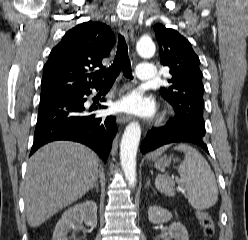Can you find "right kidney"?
Masks as SVG:
<instances>
[{
  "mask_svg": "<svg viewBox=\"0 0 248 240\" xmlns=\"http://www.w3.org/2000/svg\"><path fill=\"white\" fill-rule=\"evenodd\" d=\"M83 222L91 228L96 227L97 205L94 201H85L65 211L55 226L52 240H68V231L76 229L77 224L81 225Z\"/></svg>",
  "mask_w": 248,
  "mask_h": 240,
  "instance_id": "1",
  "label": "right kidney"
}]
</instances>
